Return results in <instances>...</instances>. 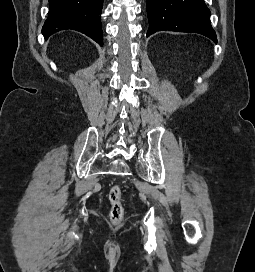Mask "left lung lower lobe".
I'll return each instance as SVG.
<instances>
[{"label": "left lung lower lobe", "instance_id": "0a47b994", "mask_svg": "<svg viewBox=\"0 0 255 272\" xmlns=\"http://www.w3.org/2000/svg\"><path fill=\"white\" fill-rule=\"evenodd\" d=\"M150 27L146 36L162 31L199 33L217 43L210 10L203 0H147Z\"/></svg>", "mask_w": 255, "mask_h": 272}]
</instances>
